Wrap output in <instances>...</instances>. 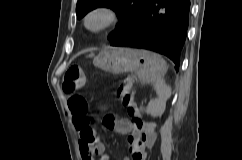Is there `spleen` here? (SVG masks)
I'll use <instances>...</instances> for the list:
<instances>
[{"instance_id":"obj_1","label":"spleen","mask_w":242,"mask_h":160,"mask_svg":"<svg viewBox=\"0 0 242 160\" xmlns=\"http://www.w3.org/2000/svg\"><path fill=\"white\" fill-rule=\"evenodd\" d=\"M151 62H152L151 69L154 72L152 82H154L155 89L157 91V94L159 95V98L156 99L153 104L154 105L153 107H156L157 105H160V103L164 100V96L161 94V89L165 88V84L162 77L166 71V63L160 55H157L155 53L153 54V59ZM139 77L141 79V76ZM166 90H167L166 97H168L170 95V90L168 88H166ZM151 109L153 108L149 106L147 109L148 112H150Z\"/></svg>"}]
</instances>
